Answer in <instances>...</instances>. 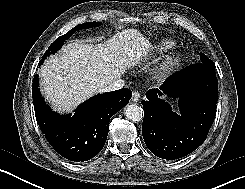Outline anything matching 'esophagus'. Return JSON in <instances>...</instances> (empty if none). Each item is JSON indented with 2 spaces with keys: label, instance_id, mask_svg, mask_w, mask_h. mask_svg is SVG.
Wrapping results in <instances>:
<instances>
[{
  "label": "esophagus",
  "instance_id": "1",
  "mask_svg": "<svg viewBox=\"0 0 245 189\" xmlns=\"http://www.w3.org/2000/svg\"><path fill=\"white\" fill-rule=\"evenodd\" d=\"M140 98H141L140 93L138 91H136V90L133 91L131 100L133 102H138L140 100Z\"/></svg>",
  "mask_w": 245,
  "mask_h": 189
}]
</instances>
